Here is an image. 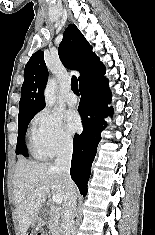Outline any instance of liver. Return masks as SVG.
<instances>
[{
  "label": "liver",
  "instance_id": "1",
  "mask_svg": "<svg viewBox=\"0 0 155 235\" xmlns=\"http://www.w3.org/2000/svg\"><path fill=\"white\" fill-rule=\"evenodd\" d=\"M41 186H47L54 195H60L65 201L66 187L60 170L51 163L18 160L14 172L13 194L20 235H26L46 201L47 192Z\"/></svg>",
  "mask_w": 155,
  "mask_h": 235
}]
</instances>
